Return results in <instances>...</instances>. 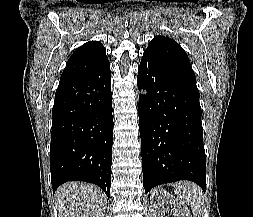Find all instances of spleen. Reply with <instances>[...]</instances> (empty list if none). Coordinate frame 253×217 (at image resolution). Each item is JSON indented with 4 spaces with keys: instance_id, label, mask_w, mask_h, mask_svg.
<instances>
[{
    "instance_id": "obj_1",
    "label": "spleen",
    "mask_w": 253,
    "mask_h": 217,
    "mask_svg": "<svg viewBox=\"0 0 253 217\" xmlns=\"http://www.w3.org/2000/svg\"><path fill=\"white\" fill-rule=\"evenodd\" d=\"M174 188L178 198L190 205L194 217H200L203 210V192L200 187L191 182H178Z\"/></svg>"
}]
</instances>
